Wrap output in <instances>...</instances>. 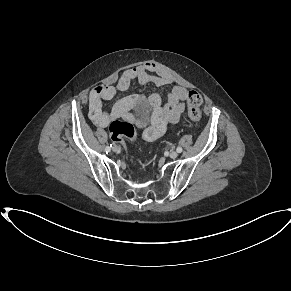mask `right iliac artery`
I'll return each instance as SVG.
<instances>
[{
	"label": "right iliac artery",
	"instance_id": "1",
	"mask_svg": "<svg viewBox=\"0 0 291 291\" xmlns=\"http://www.w3.org/2000/svg\"><path fill=\"white\" fill-rule=\"evenodd\" d=\"M112 147V144L110 146H106V152H110V148Z\"/></svg>",
	"mask_w": 291,
	"mask_h": 291
}]
</instances>
